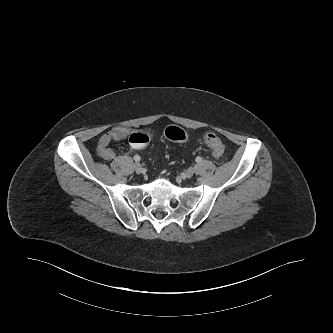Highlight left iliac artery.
Instances as JSON below:
<instances>
[{
    "label": "left iliac artery",
    "mask_w": 333,
    "mask_h": 333,
    "mask_svg": "<svg viewBox=\"0 0 333 333\" xmlns=\"http://www.w3.org/2000/svg\"><path fill=\"white\" fill-rule=\"evenodd\" d=\"M195 160H196L197 163H199V162L202 161V158L200 156H198Z\"/></svg>",
    "instance_id": "1"
}]
</instances>
